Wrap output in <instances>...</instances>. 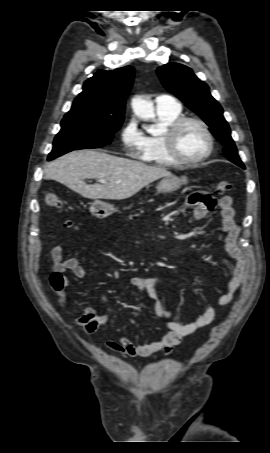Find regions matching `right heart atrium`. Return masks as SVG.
<instances>
[{"label":"right heart atrium","mask_w":270,"mask_h":453,"mask_svg":"<svg viewBox=\"0 0 270 453\" xmlns=\"http://www.w3.org/2000/svg\"><path fill=\"white\" fill-rule=\"evenodd\" d=\"M121 142L125 153L130 157H137L144 149L146 135L138 126L135 118H130L121 131Z\"/></svg>","instance_id":"1"}]
</instances>
